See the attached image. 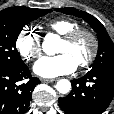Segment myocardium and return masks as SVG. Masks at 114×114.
<instances>
[{"mask_svg": "<svg viewBox=\"0 0 114 114\" xmlns=\"http://www.w3.org/2000/svg\"><path fill=\"white\" fill-rule=\"evenodd\" d=\"M83 36L87 37L90 40L91 50H90L88 57L85 60H83L82 62H80L78 64V66L81 69H86L94 63V61L98 55L99 41H98V38L95 35V33L93 31H91L90 29H87L84 27H78V28H75V29L69 31L65 35H63L62 40L68 44H73L79 38H81Z\"/></svg>", "mask_w": 114, "mask_h": 114, "instance_id": "1", "label": "myocardium"}]
</instances>
